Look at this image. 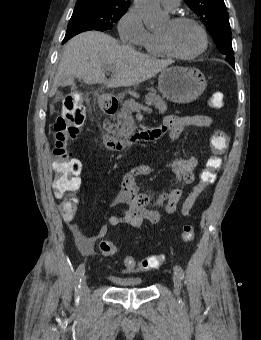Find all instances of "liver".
<instances>
[{
  "instance_id": "liver-1",
  "label": "liver",
  "mask_w": 261,
  "mask_h": 340,
  "mask_svg": "<svg viewBox=\"0 0 261 340\" xmlns=\"http://www.w3.org/2000/svg\"><path fill=\"white\" fill-rule=\"evenodd\" d=\"M171 63L120 45L105 33L84 32L67 43L50 95L54 96L59 86L76 77L90 85L104 83L111 88L130 87L151 79ZM106 67L114 68L109 79L105 77Z\"/></svg>"
}]
</instances>
